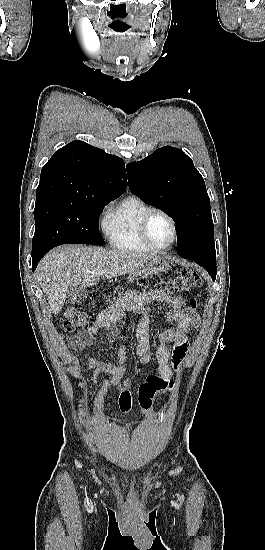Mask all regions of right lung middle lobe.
<instances>
[{
  "instance_id": "obj_1",
  "label": "right lung middle lobe",
  "mask_w": 265,
  "mask_h": 550,
  "mask_svg": "<svg viewBox=\"0 0 265 550\" xmlns=\"http://www.w3.org/2000/svg\"><path fill=\"white\" fill-rule=\"evenodd\" d=\"M114 199L36 197L32 254L47 253L53 247L67 243L103 245L99 214Z\"/></svg>"
}]
</instances>
